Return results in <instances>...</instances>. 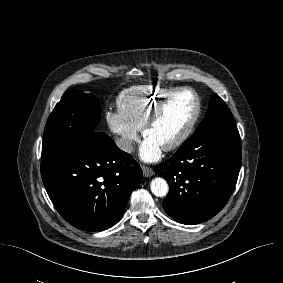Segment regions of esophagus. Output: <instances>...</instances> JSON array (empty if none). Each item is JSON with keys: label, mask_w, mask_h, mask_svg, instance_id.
Returning <instances> with one entry per match:
<instances>
[{"label": "esophagus", "mask_w": 283, "mask_h": 283, "mask_svg": "<svg viewBox=\"0 0 283 283\" xmlns=\"http://www.w3.org/2000/svg\"><path fill=\"white\" fill-rule=\"evenodd\" d=\"M142 170L145 177H151L154 174L153 169L150 167L142 166Z\"/></svg>", "instance_id": "esophagus-1"}]
</instances>
